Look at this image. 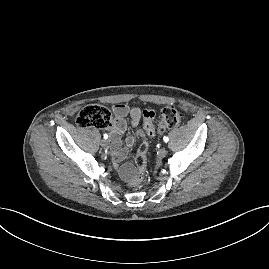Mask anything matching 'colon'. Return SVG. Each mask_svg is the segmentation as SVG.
I'll return each mask as SVG.
<instances>
[{
    "instance_id": "colon-1",
    "label": "colon",
    "mask_w": 269,
    "mask_h": 269,
    "mask_svg": "<svg viewBox=\"0 0 269 269\" xmlns=\"http://www.w3.org/2000/svg\"><path fill=\"white\" fill-rule=\"evenodd\" d=\"M144 116V130H140L138 134L144 137V133L153 136L157 131L162 132L166 129H171L179 125L184 119V113L174 107H165L161 110L159 123L154 124V112L152 110H145ZM111 113L109 109L103 105L90 104L83 107L77 115L76 123L79 127L88 128H105L111 125ZM147 144L144 140L139 145L135 163L137 169L131 176L130 183L133 186L139 185L143 180V169L145 166V152Z\"/></svg>"
}]
</instances>
